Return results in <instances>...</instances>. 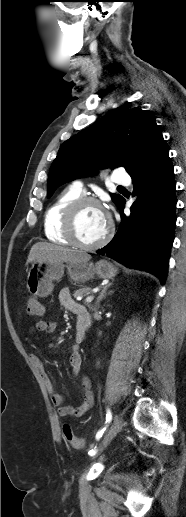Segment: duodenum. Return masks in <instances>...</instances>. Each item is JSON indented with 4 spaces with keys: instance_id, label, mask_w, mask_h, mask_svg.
Instances as JSON below:
<instances>
[{
    "instance_id": "1",
    "label": "duodenum",
    "mask_w": 186,
    "mask_h": 517,
    "mask_svg": "<svg viewBox=\"0 0 186 517\" xmlns=\"http://www.w3.org/2000/svg\"><path fill=\"white\" fill-rule=\"evenodd\" d=\"M91 325V316L86 308L78 312L77 315V330L80 338L83 339L86 331Z\"/></svg>"
}]
</instances>
